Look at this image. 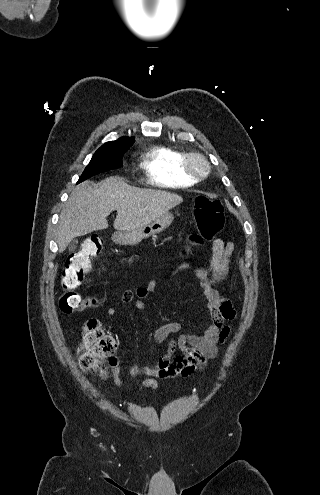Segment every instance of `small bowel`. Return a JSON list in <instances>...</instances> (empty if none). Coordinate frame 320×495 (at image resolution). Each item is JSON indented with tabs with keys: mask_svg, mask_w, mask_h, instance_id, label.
Returning a JSON list of instances; mask_svg holds the SVG:
<instances>
[{
	"mask_svg": "<svg viewBox=\"0 0 320 495\" xmlns=\"http://www.w3.org/2000/svg\"><path fill=\"white\" fill-rule=\"evenodd\" d=\"M234 245L232 242L225 243L221 238H216L212 243L211 258L207 267H190L181 264L177 271L190 270L200 281L204 295L207 300L209 312V324L204 329H196L197 332L182 334L169 342L167 353L161 356L155 367L135 364L130 368L132 376L145 375L146 379L139 383L144 388L156 389L157 378H184L190 376L195 371L203 369L209 360L217 357L218 343H224L230 335L229 321L236 316V311L211 281V277L220 279L224 277L231 264V256ZM157 284L154 281L146 286L137 288L135 292L126 290L122 293L121 300L124 303L133 302L138 310L146 309L145 298L156 290ZM136 295V299H134ZM115 307L107 309L108 316L117 315ZM182 324L179 322H169L159 327L152 336L155 344L164 343L170 336L179 333ZM179 350L182 355L173 357L175 351ZM113 382L116 386L123 384L121 370L116 362L112 369Z\"/></svg>",
	"mask_w": 320,
	"mask_h": 495,
	"instance_id": "1",
	"label": "small bowel"
}]
</instances>
